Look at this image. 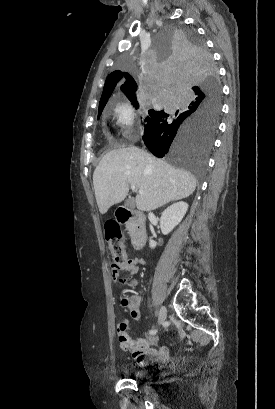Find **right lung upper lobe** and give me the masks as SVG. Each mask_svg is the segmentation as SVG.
Returning a JSON list of instances; mask_svg holds the SVG:
<instances>
[{
	"instance_id": "cb5924a9",
	"label": "right lung upper lobe",
	"mask_w": 275,
	"mask_h": 409,
	"mask_svg": "<svg viewBox=\"0 0 275 409\" xmlns=\"http://www.w3.org/2000/svg\"><path fill=\"white\" fill-rule=\"evenodd\" d=\"M120 79H122L121 90L127 95L128 98L135 97L133 93L136 91L137 85L133 77L129 73L112 72L107 76V79L105 81L103 93L99 103V111L103 110L116 84Z\"/></svg>"
}]
</instances>
